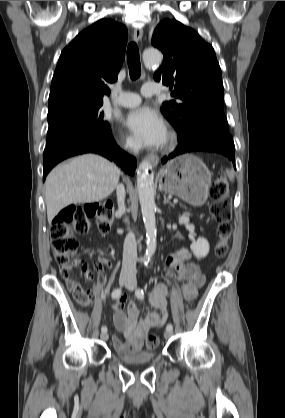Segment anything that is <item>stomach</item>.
Masks as SVG:
<instances>
[{
	"instance_id": "stomach-1",
	"label": "stomach",
	"mask_w": 285,
	"mask_h": 418,
	"mask_svg": "<svg viewBox=\"0 0 285 418\" xmlns=\"http://www.w3.org/2000/svg\"><path fill=\"white\" fill-rule=\"evenodd\" d=\"M160 186L193 206L203 205L211 185V173L204 162L192 154L178 156L159 171Z\"/></svg>"
}]
</instances>
